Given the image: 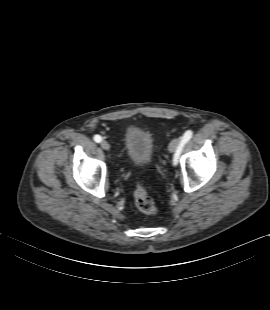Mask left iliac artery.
<instances>
[{"label":"left iliac artery","instance_id":"left-iliac-artery-1","mask_svg":"<svg viewBox=\"0 0 270 310\" xmlns=\"http://www.w3.org/2000/svg\"><path fill=\"white\" fill-rule=\"evenodd\" d=\"M193 136V132L191 130H187L181 140V144L179 145V147L177 148V151L173 157V164L176 165L178 163L182 148L184 147V145L192 138Z\"/></svg>","mask_w":270,"mask_h":310}]
</instances>
